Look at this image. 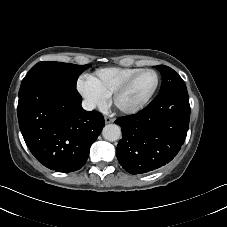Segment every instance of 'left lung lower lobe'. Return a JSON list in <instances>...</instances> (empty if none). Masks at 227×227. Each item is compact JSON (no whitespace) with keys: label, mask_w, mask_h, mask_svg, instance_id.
<instances>
[{"label":"left lung lower lobe","mask_w":227,"mask_h":227,"mask_svg":"<svg viewBox=\"0 0 227 227\" xmlns=\"http://www.w3.org/2000/svg\"><path fill=\"white\" fill-rule=\"evenodd\" d=\"M187 89H170L135 115L118 118L122 139L116 148L120 165L142 174L169 163L179 152L189 127Z\"/></svg>","instance_id":"left-lung-lower-lobe-1"}]
</instances>
